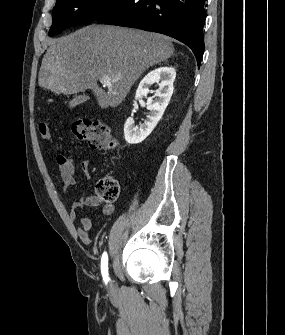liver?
Segmentation results:
<instances>
[{
	"mask_svg": "<svg viewBox=\"0 0 285 335\" xmlns=\"http://www.w3.org/2000/svg\"><path fill=\"white\" fill-rule=\"evenodd\" d=\"M47 44L39 86L57 96L92 90L102 110L122 104L141 74L174 52L167 36L120 26H85ZM117 74L121 78L108 84V92L99 88L101 76Z\"/></svg>",
	"mask_w": 285,
	"mask_h": 335,
	"instance_id": "6515ba94",
	"label": "liver"
}]
</instances>
